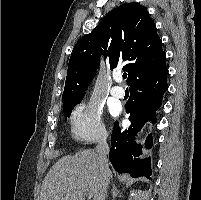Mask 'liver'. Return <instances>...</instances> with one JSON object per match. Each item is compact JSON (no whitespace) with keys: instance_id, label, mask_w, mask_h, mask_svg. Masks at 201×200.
Masks as SVG:
<instances>
[{"instance_id":"1","label":"liver","mask_w":201,"mask_h":200,"mask_svg":"<svg viewBox=\"0 0 201 200\" xmlns=\"http://www.w3.org/2000/svg\"><path fill=\"white\" fill-rule=\"evenodd\" d=\"M111 178L109 170L108 180ZM103 181L97 153L91 149L79 151L60 158L52 166L42 183L40 200H85L86 194L101 200Z\"/></svg>"}]
</instances>
